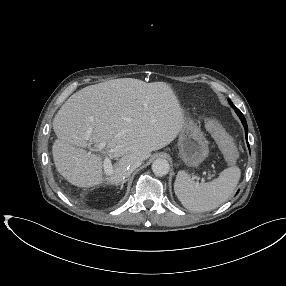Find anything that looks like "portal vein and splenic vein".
Segmentation results:
<instances>
[{
	"instance_id": "18ae733b",
	"label": "portal vein and splenic vein",
	"mask_w": 286,
	"mask_h": 286,
	"mask_svg": "<svg viewBox=\"0 0 286 286\" xmlns=\"http://www.w3.org/2000/svg\"><path fill=\"white\" fill-rule=\"evenodd\" d=\"M90 135H91V130L88 131L87 137H90ZM95 147L98 150L103 151L105 153V158H104V161H103V167H104L105 173L107 175L112 174L113 166H112L111 160L109 158V155H110L111 151L106 148V143H104V142L99 143Z\"/></svg>"
}]
</instances>
